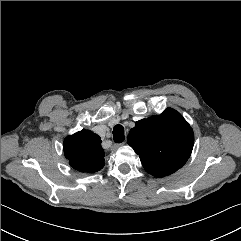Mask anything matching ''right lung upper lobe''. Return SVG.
<instances>
[{
  "label": "right lung upper lobe",
  "mask_w": 241,
  "mask_h": 241,
  "mask_svg": "<svg viewBox=\"0 0 241 241\" xmlns=\"http://www.w3.org/2000/svg\"><path fill=\"white\" fill-rule=\"evenodd\" d=\"M101 139L89 130L79 131L64 140V153L72 168L94 173L103 168L104 151Z\"/></svg>",
  "instance_id": "1"
}]
</instances>
